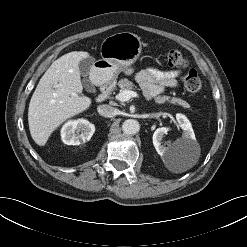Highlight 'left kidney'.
<instances>
[{
  "instance_id": "left-kidney-1",
  "label": "left kidney",
  "mask_w": 247,
  "mask_h": 247,
  "mask_svg": "<svg viewBox=\"0 0 247 247\" xmlns=\"http://www.w3.org/2000/svg\"><path fill=\"white\" fill-rule=\"evenodd\" d=\"M176 119L183 130V135L182 138L177 139L172 145L165 147L161 144L164 134H167L169 131L168 127L158 128L153 134V145L161 157L169 158L171 155L178 154L181 151L188 152L197 146L190 121L183 114H177Z\"/></svg>"
}]
</instances>
